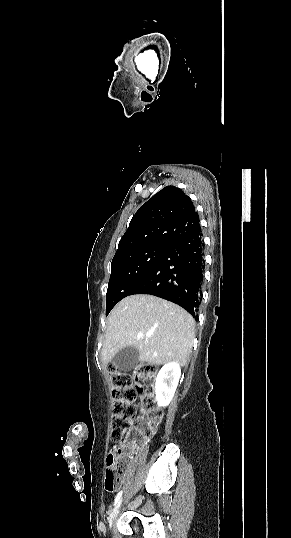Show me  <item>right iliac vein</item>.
I'll use <instances>...</instances> for the list:
<instances>
[{
	"label": "right iliac vein",
	"instance_id": "right-iliac-vein-1",
	"mask_svg": "<svg viewBox=\"0 0 291 538\" xmlns=\"http://www.w3.org/2000/svg\"><path fill=\"white\" fill-rule=\"evenodd\" d=\"M121 502H122V499L119 500V502L115 505V507L113 508L112 512L110 513V515L108 517V523H109L110 527H112V525H113V523H114V521H115V519L117 517Z\"/></svg>",
	"mask_w": 291,
	"mask_h": 538
}]
</instances>
